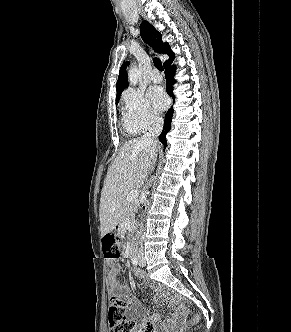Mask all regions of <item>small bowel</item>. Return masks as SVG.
<instances>
[{
    "label": "small bowel",
    "instance_id": "1",
    "mask_svg": "<svg viewBox=\"0 0 291 332\" xmlns=\"http://www.w3.org/2000/svg\"><path fill=\"white\" fill-rule=\"evenodd\" d=\"M111 266V270L109 273V283L111 290L117 284L118 275L121 272L122 268L119 264L114 263L113 261H109ZM134 273L136 276L142 278L143 274L140 270L135 269ZM156 294L154 297V301L157 304H161L163 301V293L159 288L155 289ZM172 302V300H170ZM130 314H131V323L135 326V332H139V328L148 323L156 322L159 320L158 314H150L136 299H130ZM183 321V315L180 313H175L172 316L171 323H178Z\"/></svg>",
    "mask_w": 291,
    "mask_h": 332
}]
</instances>
